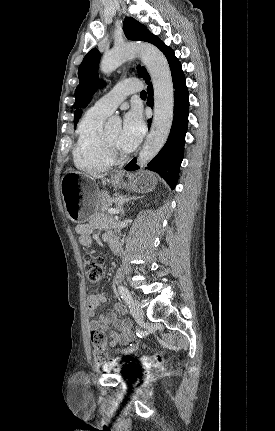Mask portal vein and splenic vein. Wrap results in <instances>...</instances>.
Returning a JSON list of instances; mask_svg holds the SVG:
<instances>
[{"instance_id": "portal-vein-and-splenic-vein-1", "label": "portal vein and splenic vein", "mask_w": 275, "mask_h": 431, "mask_svg": "<svg viewBox=\"0 0 275 431\" xmlns=\"http://www.w3.org/2000/svg\"><path fill=\"white\" fill-rule=\"evenodd\" d=\"M108 213H110V214H118L119 210H117L115 208H110V209H108Z\"/></svg>"}]
</instances>
